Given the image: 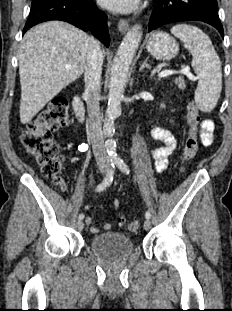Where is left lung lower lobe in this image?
Returning <instances> with one entry per match:
<instances>
[{"instance_id": "obj_1", "label": "left lung lower lobe", "mask_w": 232, "mask_h": 311, "mask_svg": "<svg viewBox=\"0 0 232 311\" xmlns=\"http://www.w3.org/2000/svg\"><path fill=\"white\" fill-rule=\"evenodd\" d=\"M154 3L149 31L168 23L197 20L214 26L224 35L216 0H154Z\"/></svg>"}]
</instances>
